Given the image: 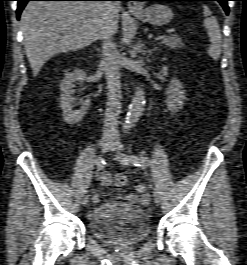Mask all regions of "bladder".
<instances>
[{
	"instance_id": "obj_1",
	"label": "bladder",
	"mask_w": 247,
	"mask_h": 265,
	"mask_svg": "<svg viewBox=\"0 0 247 265\" xmlns=\"http://www.w3.org/2000/svg\"><path fill=\"white\" fill-rule=\"evenodd\" d=\"M88 223L95 240L113 247L135 246L150 233L145 209L118 200L98 204L89 214Z\"/></svg>"
}]
</instances>
